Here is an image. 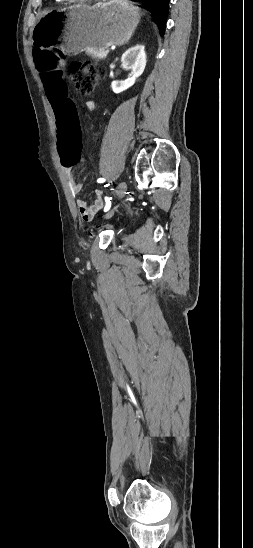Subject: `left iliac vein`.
<instances>
[{"instance_id": "4c4485c4", "label": "left iliac vein", "mask_w": 253, "mask_h": 548, "mask_svg": "<svg viewBox=\"0 0 253 548\" xmlns=\"http://www.w3.org/2000/svg\"><path fill=\"white\" fill-rule=\"evenodd\" d=\"M127 190V184L126 182L122 181L118 184L117 186V189H116V196L118 199H121L123 198V196L125 195V192ZM117 207H114L113 209H111L106 215H105V218L108 219L110 217H112V215L114 214L115 210H116Z\"/></svg>"}]
</instances>
